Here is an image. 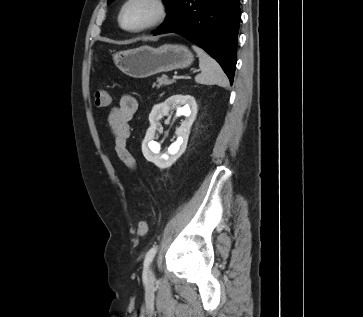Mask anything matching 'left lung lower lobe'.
<instances>
[{"instance_id":"left-lung-lower-lobe-1","label":"left lung lower lobe","mask_w":363,"mask_h":317,"mask_svg":"<svg viewBox=\"0 0 363 317\" xmlns=\"http://www.w3.org/2000/svg\"><path fill=\"white\" fill-rule=\"evenodd\" d=\"M240 15L239 0H172L165 22L153 35L174 32L205 49L232 84Z\"/></svg>"}]
</instances>
